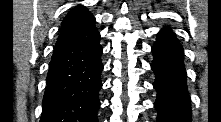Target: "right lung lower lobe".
Segmentation results:
<instances>
[{"label": "right lung lower lobe", "mask_w": 221, "mask_h": 122, "mask_svg": "<svg viewBox=\"0 0 221 122\" xmlns=\"http://www.w3.org/2000/svg\"><path fill=\"white\" fill-rule=\"evenodd\" d=\"M95 20L57 40L40 122H98L103 70Z\"/></svg>", "instance_id": "1"}]
</instances>
